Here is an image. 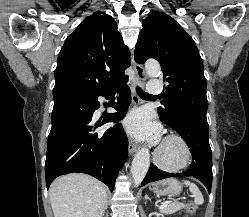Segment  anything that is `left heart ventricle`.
Returning a JSON list of instances; mask_svg holds the SVG:
<instances>
[{
	"mask_svg": "<svg viewBox=\"0 0 249 217\" xmlns=\"http://www.w3.org/2000/svg\"><path fill=\"white\" fill-rule=\"evenodd\" d=\"M163 156L168 161H174L179 156V149L173 144H168L164 147Z\"/></svg>",
	"mask_w": 249,
	"mask_h": 217,
	"instance_id": "1",
	"label": "left heart ventricle"
}]
</instances>
